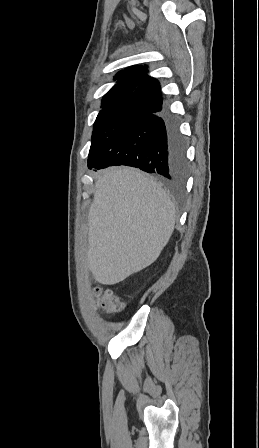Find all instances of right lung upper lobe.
<instances>
[{
	"label": "right lung upper lobe",
	"instance_id": "cb5924a9",
	"mask_svg": "<svg viewBox=\"0 0 259 448\" xmlns=\"http://www.w3.org/2000/svg\"><path fill=\"white\" fill-rule=\"evenodd\" d=\"M147 73V65H135L118 72L114 77L117 83L103 96L100 113L143 116L162 110L160 83Z\"/></svg>",
	"mask_w": 259,
	"mask_h": 448
}]
</instances>
